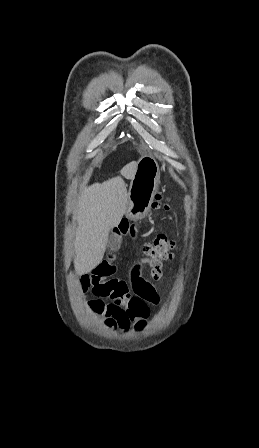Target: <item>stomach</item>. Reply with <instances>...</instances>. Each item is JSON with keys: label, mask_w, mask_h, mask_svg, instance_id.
Instances as JSON below:
<instances>
[{"label": "stomach", "mask_w": 259, "mask_h": 448, "mask_svg": "<svg viewBox=\"0 0 259 448\" xmlns=\"http://www.w3.org/2000/svg\"><path fill=\"white\" fill-rule=\"evenodd\" d=\"M159 166L153 156H141L137 162V172L128 190L130 220H142L151 208V202L158 190Z\"/></svg>", "instance_id": "obj_1"}]
</instances>
